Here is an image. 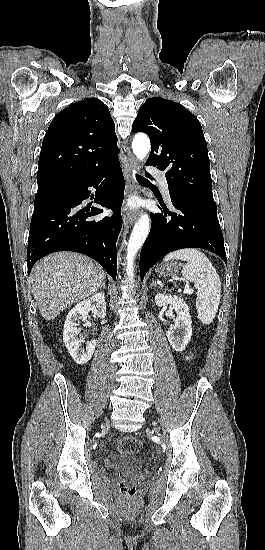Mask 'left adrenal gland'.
<instances>
[{"instance_id":"obj_1","label":"left adrenal gland","mask_w":265,"mask_h":550,"mask_svg":"<svg viewBox=\"0 0 265 550\" xmlns=\"http://www.w3.org/2000/svg\"><path fill=\"white\" fill-rule=\"evenodd\" d=\"M152 286H157V283L154 280H152L151 287Z\"/></svg>"}]
</instances>
